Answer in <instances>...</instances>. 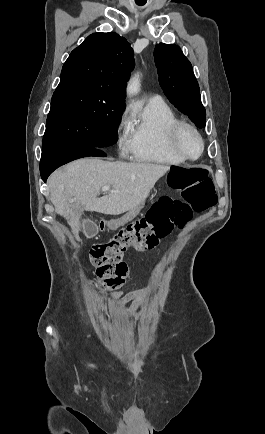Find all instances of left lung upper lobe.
Masks as SVG:
<instances>
[{"label": "left lung upper lobe", "mask_w": 265, "mask_h": 434, "mask_svg": "<svg viewBox=\"0 0 265 434\" xmlns=\"http://www.w3.org/2000/svg\"><path fill=\"white\" fill-rule=\"evenodd\" d=\"M159 83L169 101L199 128L205 127L206 111L193 68L179 46L160 43L154 50Z\"/></svg>", "instance_id": "5c2ea615"}]
</instances>
